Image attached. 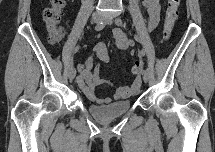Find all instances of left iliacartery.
Listing matches in <instances>:
<instances>
[{
    "label": "left iliac artery",
    "mask_w": 215,
    "mask_h": 152,
    "mask_svg": "<svg viewBox=\"0 0 215 152\" xmlns=\"http://www.w3.org/2000/svg\"><path fill=\"white\" fill-rule=\"evenodd\" d=\"M115 23H116V25H118V26H123V21H122L120 18H117V19L115 20ZM134 38H135L136 41H138V42L140 41V38H139L137 35H135ZM140 55H141V56H144V52L141 51V52H140ZM138 73L141 74L142 76L145 74L143 69H139V70H138Z\"/></svg>",
    "instance_id": "left-iliac-artery-1"
}]
</instances>
